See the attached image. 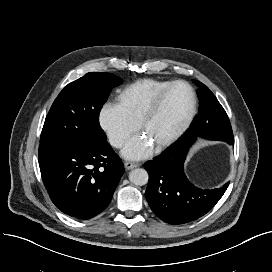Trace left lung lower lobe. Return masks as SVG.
Masks as SVG:
<instances>
[{
	"instance_id": "left-lung-lower-lobe-1",
	"label": "left lung lower lobe",
	"mask_w": 272,
	"mask_h": 272,
	"mask_svg": "<svg viewBox=\"0 0 272 272\" xmlns=\"http://www.w3.org/2000/svg\"><path fill=\"white\" fill-rule=\"evenodd\" d=\"M197 136L208 138L198 127L190 128L161 155L144 164L149 174L146 199L156 216L166 223L179 225L200 218L219 201L229 185L227 182L223 187L203 190L186 178L183 164ZM212 140L234 144L233 135Z\"/></svg>"
}]
</instances>
